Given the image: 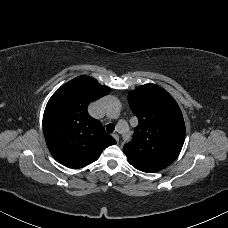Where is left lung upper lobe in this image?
<instances>
[{"instance_id":"obj_1","label":"left lung upper lobe","mask_w":228,"mask_h":228,"mask_svg":"<svg viewBox=\"0 0 228 228\" xmlns=\"http://www.w3.org/2000/svg\"><path fill=\"white\" fill-rule=\"evenodd\" d=\"M128 102L139 121L132 141L123 147L130 164L148 171L168 167L185 140L178 104L165 89L151 83L129 92Z\"/></svg>"}]
</instances>
